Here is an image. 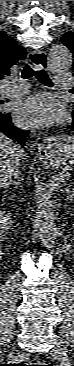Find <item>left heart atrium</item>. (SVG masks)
<instances>
[{"label":"left heart atrium","mask_w":74,"mask_h":366,"mask_svg":"<svg viewBox=\"0 0 74 366\" xmlns=\"http://www.w3.org/2000/svg\"><path fill=\"white\" fill-rule=\"evenodd\" d=\"M14 115L19 125L47 127L63 118L59 101L47 94H37L17 103Z\"/></svg>","instance_id":"1"}]
</instances>
